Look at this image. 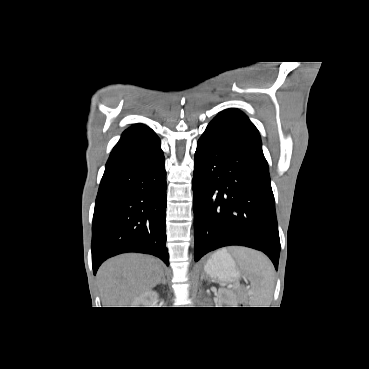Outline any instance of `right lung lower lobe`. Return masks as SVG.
I'll return each instance as SVG.
<instances>
[{"instance_id": "right-lung-lower-lobe-1", "label": "right lung lower lobe", "mask_w": 369, "mask_h": 369, "mask_svg": "<svg viewBox=\"0 0 369 369\" xmlns=\"http://www.w3.org/2000/svg\"><path fill=\"white\" fill-rule=\"evenodd\" d=\"M166 171L151 129L122 136L106 163L92 226V266L124 252L152 254L169 265Z\"/></svg>"}]
</instances>
